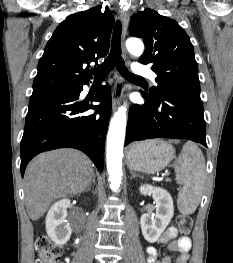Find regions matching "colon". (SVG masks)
<instances>
[{
	"label": "colon",
	"instance_id": "colon-1",
	"mask_svg": "<svg viewBox=\"0 0 233 263\" xmlns=\"http://www.w3.org/2000/svg\"><path fill=\"white\" fill-rule=\"evenodd\" d=\"M177 224L182 235L190 233L193 225L192 218L189 215H179ZM37 253L36 263H60L62 247L55 245L47 236H40L35 242Z\"/></svg>",
	"mask_w": 233,
	"mask_h": 263
}]
</instances>
